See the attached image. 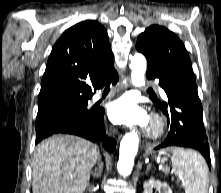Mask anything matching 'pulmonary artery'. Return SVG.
Returning <instances> with one entry per match:
<instances>
[{
	"label": "pulmonary artery",
	"instance_id": "pulmonary-artery-1",
	"mask_svg": "<svg viewBox=\"0 0 221 193\" xmlns=\"http://www.w3.org/2000/svg\"><path fill=\"white\" fill-rule=\"evenodd\" d=\"M160 93H161V95H162L163 98H167L166 93L164 92V90L160 89ZM100 98H101V94L96 93V94L93 96V101H98Z\"/></svg>",
	"mask_w": 221,
	"mask_h": 193
}]
</instances>
